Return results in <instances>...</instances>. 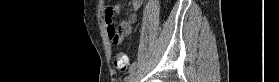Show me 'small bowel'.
<instances>
[{"instance_id": "c3829d8e", "label": "small bowel", "mask_w": 279, "mask_h": 82, "mask_svg": "<svg viewBox=\"0 0 279 82\" xmlns=\"http://www.w3.org/2000/svg\"><path fill=\"white\" fill-rule=\"evenodd\" d=\"M142 4H143L142 0H132L131 1L132 13L130 15V18L128 20L122 21L118 25H114L112 23L111 17L120 12V5L115 4L106 9V23L108 25L107 33H108L110 44L119 45L123 42V40L127 36L131 34L133 25L137 19L138 11L141 8Z\"/></svg>"}]
</instances>
